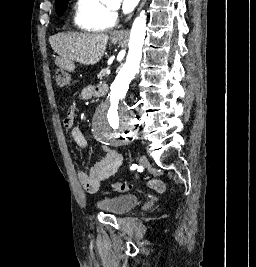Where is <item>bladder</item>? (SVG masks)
<instances>
[{
	"label": "bladder",
	"instance_id": "obj_1",
	"mask_svg": "<svg viewBox=\"0 0 256 267\" xmlns=\"http://www.w3.org/2000/svg\"><path fill=\"white\" fill-rule=\"evenodd\" d=\"M139 202L140 197L138 195L109 196L99 201V208L106 209L111 215H122L129 212Z\"/></svg>",
	"mask_w": 256,
	"mask_h": 267
}]
</instances>
